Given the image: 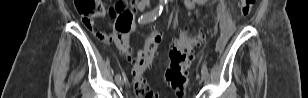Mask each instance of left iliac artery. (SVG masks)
Listing matches in <instances>:
<instances>
[{
    "label": "left iliac artery",
    "instance_id": "left-iliac-artery-1",
    "mask_svg": "<svg viewBox=\"0 0 308 98\" xmlns=\"http://www.w3.org/2000/svg\"><path fill=\"white\" fill-rule=\"evenodd\" d=\"M202 74L208 75V71L205 65L202 67Z\"/></svg>",
    "mask_w": 308,
    "mask_h": 98
}]
</instances>
